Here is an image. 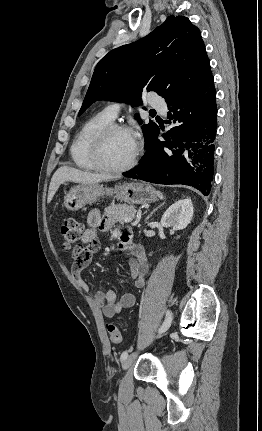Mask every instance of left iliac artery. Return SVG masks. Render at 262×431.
Instances as JSON below:
<instances>
[{
  "label": "left iliac artery",
  "mask_w": 262,
  "mask_h": 431,
  "mask_svg": "<svg viewBox=\"0 0 262 431\" xmlns=\"http://www.w3.org/2000/svg\"><path fill=\"white\" fill-rule=\"evenodd\" d=\"M171 322H172V313H171V311L168 310L166 312L165 320H164L163 324L161 325V327L159 328V333L165 332L170 327ZM127 356H128V353L123 352L121 354V359L124 360Z\"/></svg>",
  "instance_id": "1"
}]
</instances>
